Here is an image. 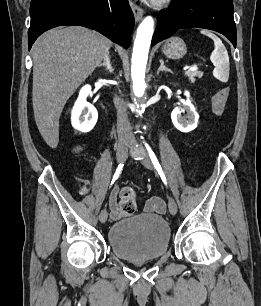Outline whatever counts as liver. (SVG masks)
Wrapping results in <instances>:
<instances>
[{
  "label": "liver",
  "instance_id": "1",
  "mask_svg": "<svg viewBox=\"0 0 261 306\" xmlns=\"http://www.w3.org/2000/svg\"><path fill=\"white\" fill-rule=\"evenodd\" d=\"M109 39L85 27L42 34L32 47V103L35 122L51 148L59 142V118L67 100L108 56Z\"/></svg>",
  "mask_w": 261,
  "mask_h": 306
}]
</instances>
